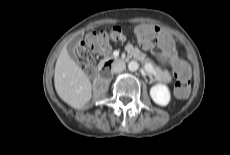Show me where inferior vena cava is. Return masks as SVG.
<instances>
[{
	"instance_id": "602c4592",
	"label": "inferior vena cava",
	"mask_w": 230,
	"mask_h": 155,
	"mask_svg": "<svg viewBox=\"0 0 230 155\" xmlns=\"http://www.w3.org/2000/svg\"><path fill=\"white\" fill-rule=\"evenodd\" d=\"M126 68V64L124 61H117L111 69L112 73H119L122 72Z\"/></svg>"
}]
</instances>
